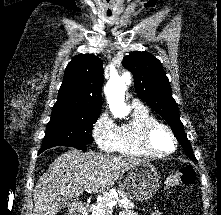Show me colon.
<instances>
[{"label":"colon","instance_id":"colon-1","mask_svg":"<svg viewBox=\"0 0 221 215\" xmlns=\"http://www.w3.org/2000/svg\"><path fill=\"white\" fill-rule=\"evenodd\" d=\"M198 178L196 170L191 166H185L179 171L171 174L167 180L166 185L168 187H174L176 185H191L196 182Z\"/></svg>","mask_w":221,"mask_h":215}]
</instances>
